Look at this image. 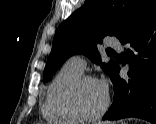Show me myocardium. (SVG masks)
<instances>
[{
	"instance_id": "myocardium-1",
	"label": "myocardium",
	"mask_w": 156,
	"mask_h": 124,
	"mask_svg": "<svg viewBox=\"0 0 156 124\" xmlns=\"http://www.w3.org/2000/svg\"><path fill=\"white\" fill-rule=\"evenodd\" d=\"M86 81H98L95 77L90 75H80L76 79H74L63 91L61 95V105L64 111L70 115L75 121L78 122H91L101 118L105 112L107 111L110 104V97L108 92L106 93L105 102L101 109L92 114L85 115L79 111V109L75 105V93L80 85Z\"/></svg>"
}]
</instances>
